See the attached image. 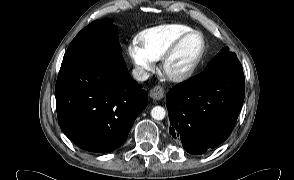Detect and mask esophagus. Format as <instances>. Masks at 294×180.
Here are the masks:
<instances>
[{
	"instance_id": "34e87169",
	"label": "esophagus",
	"mask_w": 294,
	"mask_h": 180,
	"mask_svg": "<svg viewBox=\"0 0 294 180\" xmlns=\"http://www.w3.org/2000/svg\"><path fill=\"white\" fill-rule=\"evenodd\" d=\"M164 88L160 85H156L154 88L150 90V96L154 100H160L164 97Z\"/></svg>"
}]
</instances>
